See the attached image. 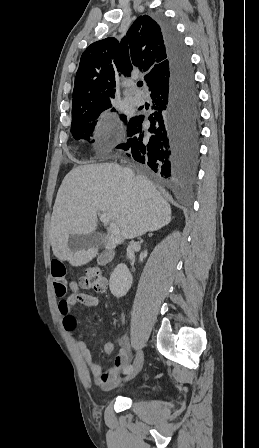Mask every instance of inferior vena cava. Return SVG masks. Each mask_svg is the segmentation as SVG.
<instances>
[{
	"label": "inferior vena cava",
	"instance_id": "602c4592",
	"mask_svg": "<svg viewBox=\"0 0 259 448\" xmlns=\"http://www.w3.org/2000/svg\"><path fill=\"white\" fill-rule=\"evenodd\" d=\"M123 172H124L123 182H124L127 190H129V188H131V186L135 180V174H134V172H132V170H130V168H124Z\"/></svg>",
	"mask_w": 259,
	"mask_h": 448
}]
</instances>
